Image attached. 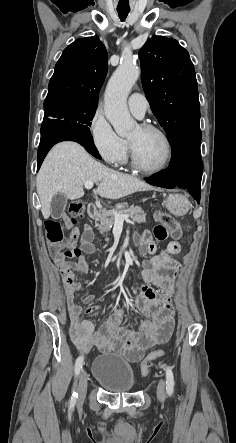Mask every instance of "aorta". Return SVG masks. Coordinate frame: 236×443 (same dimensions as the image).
Instances as JSON below:
<instances>
[{
    "mask_svg": "<svg viewBox=\"0 0 236 443\" xmlns=\"http://www.w3.org/2000/svg\"><path fill=\"white\" fill-rule=\"evenodd\" d=\"M140 75L132 61H123L111 76L105 91V115L115 132L126 137L135 128L136 121L127 108V97Z\"/></svg>",
    "mask_w": 236,
    "mask_h": 443,
    "instance_id": "762f6f07",
    "label": "aorta"
}]
</instances>
